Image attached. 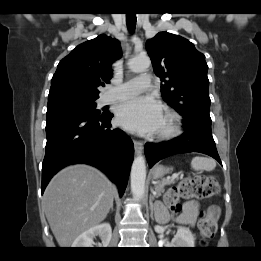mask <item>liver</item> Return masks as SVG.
Wrapping results in <instances>:
<instances>
[{"label":"liver","instance_id":"obj_1","mask_svg":"<svg viewBox=\"0 0 261 261\" xmlns=\"http://www.w3.org/2000/svg\"><path fill=\"white\" fill-rule=\"evenodd\" d=\"M114 186L99 170L88 165L64 168L47 186L43 205L60 247L101 223L113 206Z\"/></svg>","mask_w":261,"mask_h":261}]
</instances>
